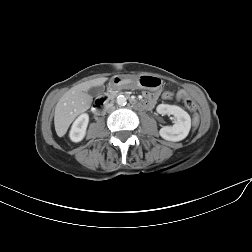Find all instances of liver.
Wrapping results in <instances>:
<instances>
[{"instance_id":"1","label":"liver","mask_w":252,"mask_h":252,"mask_svg":"<svg viewBox=\"0 0 252 252\" xmlns=\"http://www.w3.org/2000/svg\"><path fill=\"white\" fill-rule=\"evenodd\" d=\"M106 80L107 78L102 77L83 82L71 88L60 98L54 115L55 130L59 137L67 132L70 124L79 114L90 108L92 97L88 94V90L103 85Z\"/></svg>"}]
</instances>
